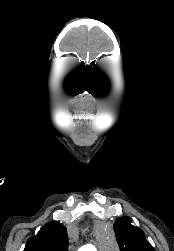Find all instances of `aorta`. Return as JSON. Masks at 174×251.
Masks as SVG:
<instances>
[{"label":"aorta","mask_w":174,"mask_h":251,"mask_svg":"<svg viewBox=\"0 0 174 251\" xmlns=\"http://www.w3.org/2000/svg\"><path fill=\"white\" fill-rule=\"evenodd\" d=\"M105 238L107 243V250L111 251L114 250L115 246V239L112 230L109 228L105 229ZM78 251H97L93 245H84Z\"/></svg>","instance_id":"1"}]
</instances>
